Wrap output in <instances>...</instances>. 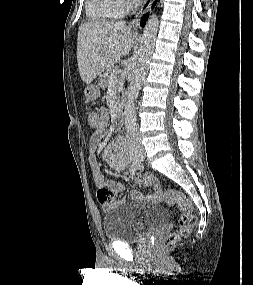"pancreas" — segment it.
<instances>
[{"instance_id": "cf45deb5", "label": "pancreas", "mask_w": 253, "mask_h": 285, "mask_svg": "<svg viewBox=\"0 0 253 285\" xmlns=\"http://www.w3.org/2000/svg\"><path fill=\"white\" fill-rule=\"evenodd\" d=\"M118 73L117 67H109L106 69L104 75H102L99 85L102 89H106L109 87V80L115 77Z\"/></svg>"}]
</instances>
